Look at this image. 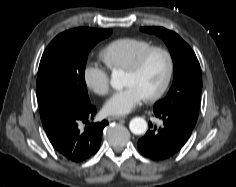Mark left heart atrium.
Returning <instances> with one entry per match:
<instances>
[{
  "label": "left heart atrium",
  "instance_id": "left-heart-atrium-1",
  "mask_svg": "<svg viewBox=\"0 0 236 187\" xmlns=\"http://www.w3.org/2000/svg\"><path fill=\"white\" fill-rule=\"evenodd\" d=\"M144 95L135 86L115 92L104 104V110L109 115L123 116L130 113L142 100Z\"/></svg>",
  "mask_w": 236,
  "mask_h": 187
}]
</instances>
